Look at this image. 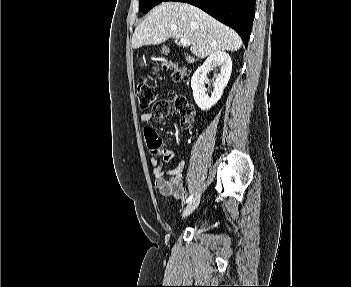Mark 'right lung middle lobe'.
<instances>
[{"label":"right lung middle lobe","mask_w":351,"mask_h":287,"mask_svg":"<svg viewBox=\"0 0 351 287\" xmlns=\"http://www.w3.org/2000/svg\"><path fill=\"white\" fill-rule=\"evenodd\" d=\"M164 0H139L140 11L143 13H147L153 7L163 2Z\"/></svg>","instance_id":"dd1d6c3e"}]
</instances>
